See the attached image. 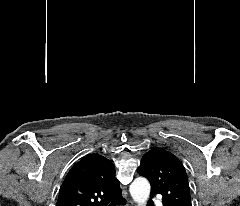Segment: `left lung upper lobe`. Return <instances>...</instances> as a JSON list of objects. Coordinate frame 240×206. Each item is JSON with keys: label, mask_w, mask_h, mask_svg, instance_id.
<instances>
[{"label": "left lung upper lobe", "mask_w": 240, "mask_h": 206, "mask_svg": "<svg viewBox=\"0 0 240 206\" xmlns=\"http://www.w3.org/2000/svg\"><path fill=\"white\" fill-rule=\"evenodd\" d=\"M137 172L150 181L152 195H162L163 206H191L185 168L171 152L161 148L148 151Z\"/></svg>", "instance_id": "obj_1"}]
</instances>
